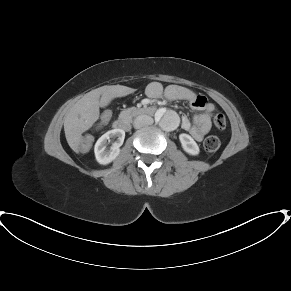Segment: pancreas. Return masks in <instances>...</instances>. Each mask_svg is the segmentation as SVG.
Returning a JSON list of instances; mask_svg holds the SVG:
<instances>
[{"label": "pancreas", "instance_id": "obj_1", "mask_svg": "<svg viewBox=\"0 0 291 291\" xmlns=\"http://www.w3.org/2000/svg\"><path fill=\"white\" fill-rule=\"evenodd\" d=\"M137 112V109L135 107L130 108V109H126L123 110L120 113V118H124V117H131L133 114H135Z\"/></svg>", "mask_w": 291, "mask_h": 291}]
</instances>
